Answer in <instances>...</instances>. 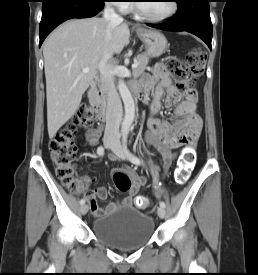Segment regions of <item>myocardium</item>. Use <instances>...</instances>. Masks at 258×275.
Returning a JSON list of instances; mask_svg holds the SVG:
<instances>
[{
    "label": "myocardium",
    "mask_w": 258,
    "mask_h": 275,
    "mask_svg": "<svg viewBox=\"0 0 258 275\" xmlns=\"http://www.w3.org/2000/svg\"><path fill=\"white\" fill-rule=\"evenodd\" d=\"M171 4H172V8H171L170 12H168L166 15H163L160 17H154V16L147 14L139 3H135L134 8H135L136 12L139 15H141L142 17H144L145 19L153 21V22H160V21H164V20H167V19L173 17L178 12L177 1L172 0Z\"/></svg>",
    "instance_id": "myocardium-1"
}]
</instances>
